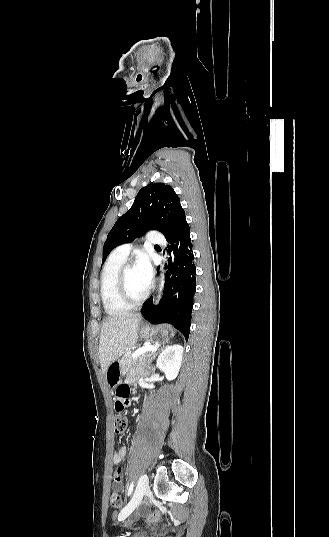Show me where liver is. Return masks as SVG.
<instances>
[{
	"mask_svg": "<svg viewBox=\"0 0 329 537\" xmlns=\"http://www.w3.org/2000/svg\"><path fill=\"white\" fill-rule=\"evenodd\" d=\"M140 321V314L109 317L103 321L99 343V360L103 373L136 344Z\"/></svg>",
	"mask_w": 329,
	"mask_h": 537,
	"instance_id": "1",
	"label": "liver"
}]
</instances>
